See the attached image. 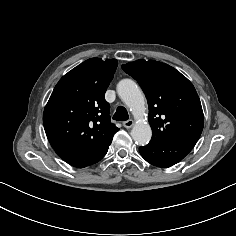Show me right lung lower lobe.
Instances as JSON below:
<instances>
[{
  "label": "right lung lower lobe",
  "instance_id": "98d812e1",
  "mask_svg": "<svg viewBox=\"0 0 236 236\" xmlns=\"http://www.w3.org/2000/svg\"><path fill=\"white\" fill-rule=\"evenodd\" d=\"M112 140L103 148L97 151L91 152H78V151H70L59 149L55 150L60 158H62L68 164L78 167L84 168L86 166L92 165L100 161L108 151L109 145Z\"/></svg>",
  "mask_w": 236,
  "mask_h": 236
}]
</instances>
